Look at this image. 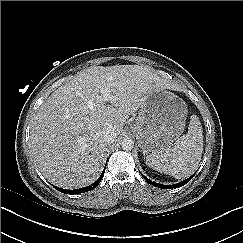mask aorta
Returning a JSON list of instances; mask_svg holds the SVG:
<instances>
[{"label": "aorta", "mask_w": 243, "mask_h": 243, "mask_svg": "<svg viewBox=\"0 0 243 243\" xmlns=\"http://www.w3.org/2000/svg\"><path fill=\"white\" fill-rule=\"evenodd\" d=\"M121 146L123 150L131 151L134 147V141L131 138H125L123 139Z\"/></svg>", "instance_id": "762f6f07"}]
</instances>
